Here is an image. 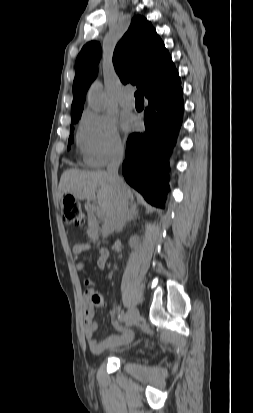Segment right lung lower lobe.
<instances>
[{"label": "right lung lower lobe", "mask_w": 253, "mask_h": 413, "mask_svg": "<svg viewBox=\"0 0 253 413\" xmlns=\"http://www.w3.org/2000/svg\"><path fill=\"white\" fill-rule=\"evenodd\" d=\"M181 82L171 88H155L147 96L145 132L133 133L126 144L122 172L128 184L157 207H163L168 190V157L182 124Z\"/></svg>", "instance_id": "obj_1"}]
</instances>
